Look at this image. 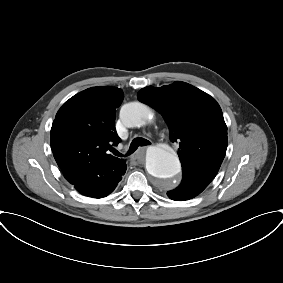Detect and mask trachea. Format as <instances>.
Listing matches in <instances>:
<instances>
[{"mask_svg":"<svg viewBox=\"0 0 283 283\" xmlns=\"http://www.w3.org/2000/svg\"><path fill=\"white\" fill-rule=\"evenodd\" d=\"M151 142L148 141L147 139H144V138H135L131 144H130V147H129V150L127 152V154L125 156H129L131 155L133 152H135L137 150V148L139 146H146V145H150ZM113 153L116 155V156H123L120 152L114 150Z\"/></svg>","mask_w":283,"mask_h":283,"instance_id":"trachea-1","label":"trachea"}]
</instances>
